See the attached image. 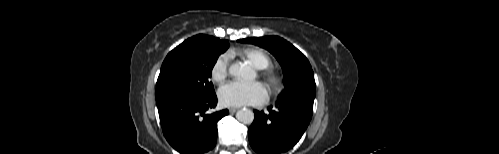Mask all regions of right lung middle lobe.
I'll use <instances>...</instances> for the list:
<instances>
[{
    "label": "right lung middle lobe",
    "mask_w": 499,
    "mask_h": 154,
    "mask_svg": "<svg viewBox=\"0 0 499 154\" xmlns=\"http://www.w3.org/2000/svg\"><path fill=\"white\" fill-rule=\"evenodd\" d=\"M228 47L227 40L197 35L173 49L160 70L156 102L173 97L200 100L215 94L210 81L212 69Z\"/></svg>",
    "instance_id": "1"
}]
</instances>
